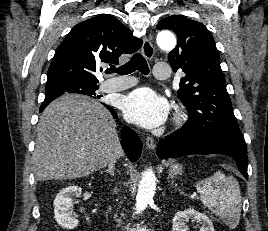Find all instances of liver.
<instances>
[{
	"mask_svg": "<svg viewBox=\"0 0 268 231\" xmlns=\"http://www.w3.org/2000/svg\"><path fill=\"white\" fill-rule=\"evenodd\" d=\"M121 156L116 123L98 101L65 94L42 112L33 152L36 181L85 177Z\"/></svg>",
	"mask_w": 268,
	"mask_h": 231,
	"instance_id": "6515ba94",
	"label": "liver"
}]
</instances>
